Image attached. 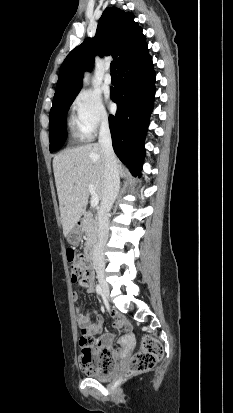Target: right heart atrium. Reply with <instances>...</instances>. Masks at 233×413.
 <instances>
[{"label":"right heart atrium","instance_id":"obj_1","mask_svg":"<svg viewBox=\"0 0 233 413\" xmlns=\"http://www.w3.org/2000/svg\"><path fill=\"white\" fill-rule=\"evenodd\" d=\"M73 108L87 137H92L109 123V116L102 99L93 91H80L73 100Z\"/></svg>","mask_w":233,"mask_h":413}]
</instances>
